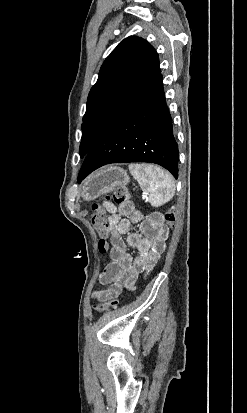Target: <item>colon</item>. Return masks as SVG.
Masks as SVG:
<instances>
[{
    "label": "colon",
    "mask_w": 247,
    "mask_h": 413,
    "mask_svg": "<svg viewBox=\"0 0 247 413\" xmlns=\"http://www.w3.org/2000/svg\"><path fill=\"white\" fill-rule=\"evenodd\" d=\"M105 199H112L115 203H122L124 207H131L135 201L134 197L128 198L127 191L123 187H118L114 190L112 195L106 196ZM165 222L168 228H172L175 222L174 209L169 208L164 211ZM91 220L95 227V232L98 234L99 240V251L101 253H106L108 251V240H107V221L104 211L99 207L97 203L93 205V212L91 215ZM119 303L118 298H108L102 303L94 304L93 310L97 314L107 312L110 309L115 308Z\"/></svg>",
    "instance_id": "1"
}]
</instances>
